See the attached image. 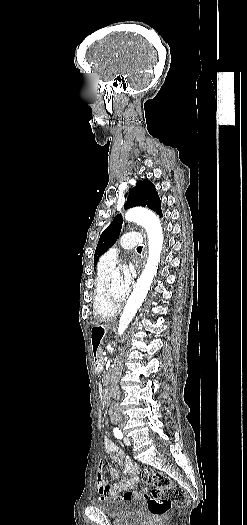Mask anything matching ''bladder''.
Listing matches in <instances>:
<instances>
[{"instance_id":"bladder-1","label":"bladder","mask_w":247,"mask_h":525,"mask_svg":"<svg viewBox=\"0 0 247 525\" xmlns=\"http://www.w3.org/2000/svg\"><path fill=\"white\" fill-rule=\"evenodd\" d=\"M92 505L108 517L123 518L127 515L138 513L143 503L140 499L102 498L93 500Z\"/></svg>"}]
</instances>
